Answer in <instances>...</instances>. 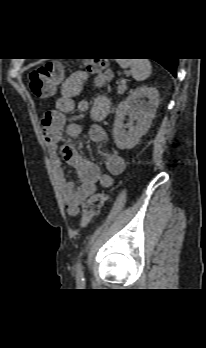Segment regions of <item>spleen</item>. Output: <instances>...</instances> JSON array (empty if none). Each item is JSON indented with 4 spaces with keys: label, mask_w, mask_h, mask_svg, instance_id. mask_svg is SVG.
<instances>
[{
    "label": "spleen",
    "mask_w": 206,
    "mask_h": 348,
    "mask_svg": "<svg viewBox=\"0 0 206 348\" xmlns=\"http://www.w3.org/2000/svg\"><path fill=\"white\" fill-rule=\"evenodd\" d=\"M117 62L121 68H130L137 81H143L151 74V63L148 59H118Z\"/></svg>",
    "instance_id": "obj_1"
}]
</instances>
